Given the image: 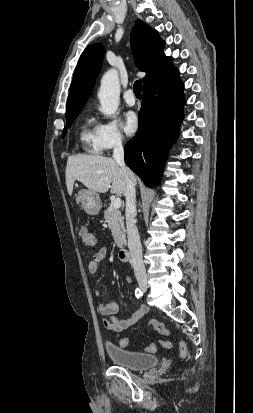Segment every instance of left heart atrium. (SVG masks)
Segmentation results:
<instances>
[{"label":"left heart atrium","instance_id":"left-heart-atrium-1","mask_svg":"<svg viewBox=\"0 0 253 413\" xmlns=\"http://www.w3.org/2000/svg\"><path fill=\"white\" fill-rule=\"evenodd\" d=\"M138 127L139 120L137 114L133 111L126 112L122 121V128L124 132L127 135H132L138 130Z\"/></svg>","mask_w":253,"mask_h":413}]
</instances>
